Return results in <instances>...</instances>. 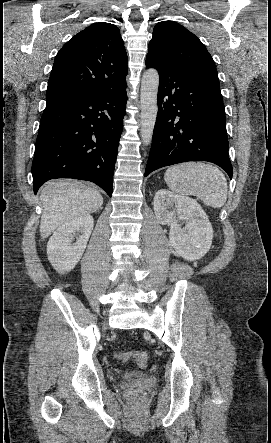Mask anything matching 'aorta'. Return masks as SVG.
<instances>
[{"mask_svg":"<svg viewBox=\"0 0 271 443\" xmlns=\"http://www.w3.org/2000/svg\"><path fill=\"white\" fill-rule=\"evenodd\" d=\"M158 88L159 74L154 68H149V70H146L142 76L140 92V136L143 146H149L152 142L158 112Z\"/></svg>","mask_w":271,"mask_h":443,"instance_id":"aorta-1","label":"aorta"}]
</instances>
